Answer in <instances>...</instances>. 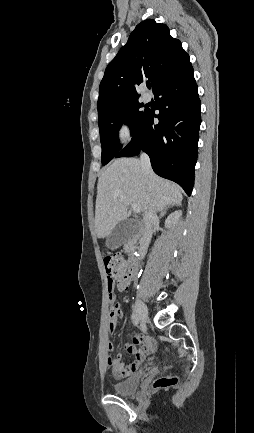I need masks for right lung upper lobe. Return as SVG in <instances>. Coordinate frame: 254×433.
<instances>
[{
  "mask_svg": "<svg viewBox=\"0 0 254 433\" xmlns=\"http://www.w3.org/2000/svg\"><path fill=\"white\" fill-rule=\"evenodd\" d=\"M165 24L139 23L107 66L99 87L98 113L138 100V87L151 83L153 93L188 58Z\"/></svg>",
  "mask_w": 254,
  "mask_h": 433,
  "instance_id": "1",
  "label": "right lung upper lobe"
}]
</instances>
